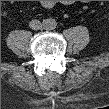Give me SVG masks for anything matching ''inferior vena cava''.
Listing matches in <instances>:
<instances>
[{
  "mask_svg": "<svg viewBox=\"0 0 109 109\" xmlns=\"http://www.w3.org/2000/svg\"><path fill=\"white\" fill-rule=\"evenodd\" d=\"M29 27L33 30H39L42 28V23L37 19H33L30 21Z\"/></svg>",
  "mask_w": 109,
  "mask_h": 109,
  "instance_id": "obj_1",
  "label": "inferior vena cava"
}]
</instances>
